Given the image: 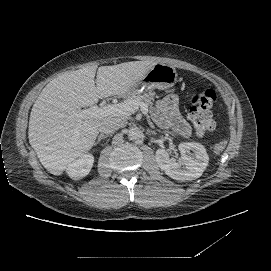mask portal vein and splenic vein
<instances>
[{
    "mask_svg": "<svg viewBox=\"0 0 271 271\" xmlns=\"http://www.w3.org/2000/svg\"><path fill=\"white\" fill-rule=\"evenodd\" d=\"M140 107L142 114L145 116L148 115V106H146L145 104H141ZM137 109L138 104L135 102V100H132L117 105H109L106 107H99L98 105H93L88 109L73 111L72 115L81 119L88 116L101 117L108 114L113 116H129L133 114V112Z\"/></svg>",
    "mask_w": 271,
    "mask_h": 271,
    "instance_id": "obj_1",
    "label": "portal vein and splenic vein"
}]
</instances>
